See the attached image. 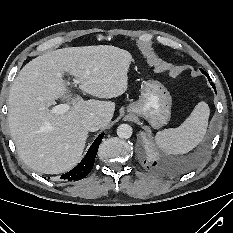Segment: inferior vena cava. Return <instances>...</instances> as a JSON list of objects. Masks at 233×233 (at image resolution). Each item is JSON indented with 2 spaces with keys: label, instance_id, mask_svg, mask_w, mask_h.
I'll return each mask as SVG.
<instances>
[{
  "label": "inferior vena cava",
  "instance_id": "1",
  "mask_svg": "<svg viewBox=\"0 0 233 233\" xmlns=\"http://www.w3.org/2000/svg\"><path fill=\"white\" fill-rule=\"evenodd\" d=\"M103 121L96 115H88L82 120V126L87 131H97L101 128Z\"/></svg>",
  "mask_w": 233,
  "mask_h": 233
}]
</instances>
